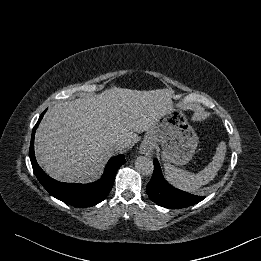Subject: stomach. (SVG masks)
Masks as SVG:
<instances>
[{
  "instance_id": "0dacf381",
  "label": "stomach",
  "mask_w": 261,
  "mask_h": 261,
  "mask_svg": "<svg viewBox=\"0 0 261 261\" xmlns=\"http://www.w3.org/2000/svg\"><path fill=\"white\" fill-rule=\"evenodd\" d=\"M146 142L162 146V159L165 162L185 165L195 153L198 137L185 113L176 108L169 99L164 112L146 132L143 144Z\"/></svg>"
}]
</instances>
